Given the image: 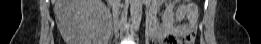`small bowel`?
<instances>
[{"label": "small bowel", "mask_w": 261, "mask_h": 44, "mask_svg": "<svg viewBox=\"0 0 261 44\" xmlns=\"http://www.w3.org/2000/svg\"><path fill=\"white\" fill-rule=\"evenodd\" d=\"M183 2L168 3L162 15V23L158 22V11L162 1L152 3L148 16V34L155 43H194L198 25V8L194 3L191 6H184ZM184 20L186 23H183Z\"/></svg>", "instance_id": "1"}]
</instances>
